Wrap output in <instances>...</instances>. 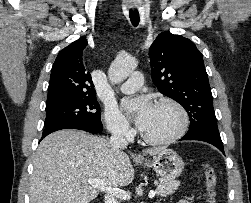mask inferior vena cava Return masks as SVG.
Here are the masks:
<instances>
[{"label": "inferior vena cava", "mask_w": 251, "mask_h": 203, "mask_svg": "<svg viewBox=\"0 0 251 203\" xmlns=\"http://www.w3.org/2000/svg\"><path fill=\"white\" fill-rule=\"evenodd\" d=\"M109 144L114 151L119 152L121 149H124L127 147L128 142L124 138L123 131H121L120 129H115L112 132V135L109 140ZM112 201L113 203H115L112 195L105 196V203H112Z\"/></svg>", "instance_id": "inferior-vena-cava-1"}]
</instances>
